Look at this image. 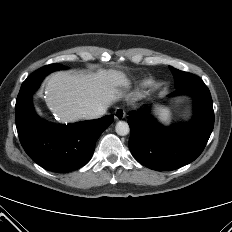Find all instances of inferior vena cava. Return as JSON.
Wrapping results in <instances>:
<instances>
[{
    "label": "inferior vena cava",
    "mask_w": 232,
    "mask_h": 232,
    "mask_svg": "<svg viewBox=\"0 0 232 232\" xmlns=\"http://www.w3.org/2000/svg\"><path fill=\"white\" fill-rule=\"evenodd\" d=\"M107 107L106 106H101L97 109H94L92 111H88L87 113H85V118L86 119H96L101 117L102 115H104L106 113Z\"/></svg>",
    "instance_id": "1"
}]
</instances>
